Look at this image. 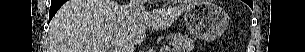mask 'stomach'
<instances>
[{"label":"stomach","mask_w":305,"mask_h":52,"mask_svg":"<svg viewBox=\"0 0 305 52\" xmlns=\"http://www.w3.org/2000/svg\"><path fill=\"white\" fill-rule=\"evenodd\" d=\"M188 31L204 40L219 37L227 27L228 16L221 7L208 0H197L184 11Z\"/></svg>","instance_id":"1"}]
</instances>
